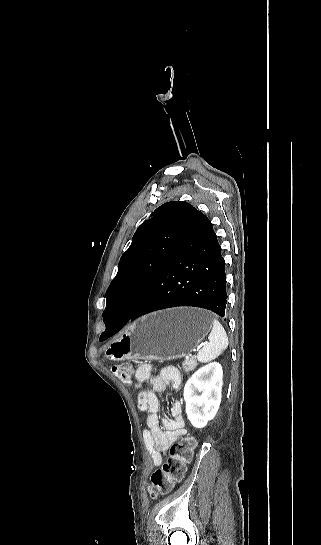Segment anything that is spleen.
Listing matches in <instances>:
<instances>
[{
    "instance_id": "spleen-1",
    "label": "spleen",
    "mask_w": 321,
    "mask_h": 545,
    "mask_svg": "<svg viewBox=\"0 0 321 545\" xmlns=\"http://www.w3.org/2000/svg\"><path fill=\"white\" fill-rule=\"evenodd\" d=\"M228 347V337L225 329L217 319H213V329L208 337V343L197 355L199 363H210L217 359Z\"/></svg>"
}]
</instances>
